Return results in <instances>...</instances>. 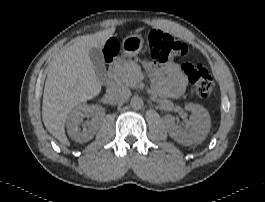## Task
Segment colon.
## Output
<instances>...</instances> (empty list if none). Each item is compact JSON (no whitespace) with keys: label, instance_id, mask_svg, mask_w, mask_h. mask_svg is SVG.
<instances>
[{"label":"colon","instance_id":"5ec220e1","mask_svg":"<svg viewBox=\"0 0 265 202\" xmlns=\"http://www.w3.org/2000/svg\"><path fill=\"white\" fill-rule=\"evenodd\" d=\"M145 37L150 55L156 62L163 63L174 57L186 56L188 53L186 43L164 31L151 30L146 33ZM118 51L119 45L115 41H110L106 46L107 61H111ZM180 67L196 94L203 99H209L213 91V81L204 65L187 61Z\"/></svg>","mask_w":265,"mask_h":202}]
</instances>
